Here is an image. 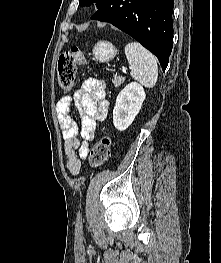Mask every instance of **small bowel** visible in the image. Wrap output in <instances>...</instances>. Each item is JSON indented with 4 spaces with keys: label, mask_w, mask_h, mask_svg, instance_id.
Instances as JSON below:
<instances>
[{
    "label": "small bowel",
    "mask_w": 221,
    "mask_h": 263,
    "mask_svg": "<svg viewBox=\"0 0 221 263\" xmlns=\"http://www.w3.org/2000/svg\"><path fill=\"white\" fill-rule=\"evenodd\" d=\"M79 113L80 125L71 116V106ZM57 117L64 139L66 168L70 174H80L82 161L89 154V142L94 138L98 124L108 112L104 83L97 79L85 80L73 94L57 103Z\"/></svg>",
    "instance_id": "small-bowel-1"
}]
</instances>
